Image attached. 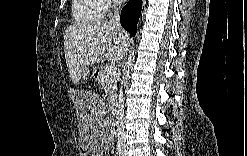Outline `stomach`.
Here are the masks:
<instances>
[{
	"label": "stomach",
	"mask_w": 247,
	"mask_h": 156,
	"mask_svg": "<svg viewBox=\"0 0 247 156\" xmlns=\"http://www.w3.org/2000/svg\"><path fill=\"white\" fill-rule=\"evenodd\" d=\"M90 70L86 68L82 73V78L87 79L89 77ZM93 76H96V70L93 71Z\"/></svg>",
	"instance_id": "stomach-1"
}]
</instances>
